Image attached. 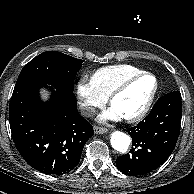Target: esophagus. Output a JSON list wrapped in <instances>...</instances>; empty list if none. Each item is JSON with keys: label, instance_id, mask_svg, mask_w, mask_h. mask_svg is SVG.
Here are the masks:
<instances>
[{"label": "esophagus", "instance_id": "obj_1", "mask_svg": "<svg viewBox=\"0 0 194 194\" xmlns=\"http://www.w3.org/2000/svg\"><path fill=\"white\" fill-rule=\"evenodd\" d=\"M107 131H108V129L105 127H99V126L94 127V132L96 134H103V133H106Z\"/></svg>", "mask_w": 194, "mask_h": 194}]
</instances>
